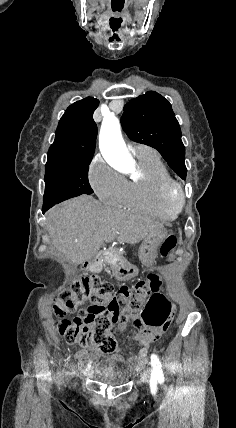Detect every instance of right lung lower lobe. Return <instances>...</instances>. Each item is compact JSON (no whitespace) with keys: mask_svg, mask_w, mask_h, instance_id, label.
Instances as JSON below:
<instances>
[{"mask_svg":"<svg viewBox=\"0 0 236 428\" xmlns=\"http://www.w3.org/2000/svg\"><path fill=\"white\" fill-rule=\"evenodd\" d=\"M53 205H43L42 213L44 214L49 208H51Z\"/></svg>","mask_w":236,"mask_h":428,"instance_id":"obj_1","label":"right lung lower lobe"}]
</instances>
